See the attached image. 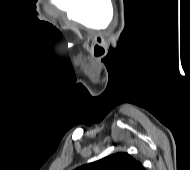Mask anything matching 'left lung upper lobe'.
<instances>
[{
	"instance_id": "5c2ea615",
	"label": "left lung upper lobe",
	"mask_w": 190,
	"mask_h": 170,
	"mask_svg": "<svg viewBox=\"0 0 190 170\" xmlns=\"http://www.w3.org/2000/svg\"><path fill=\"white\" fill-rule=\"evenodd\" d=\"M75 170H145L142 164L128 153H116Z\"/></svg>"
}]
</instances>
